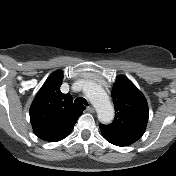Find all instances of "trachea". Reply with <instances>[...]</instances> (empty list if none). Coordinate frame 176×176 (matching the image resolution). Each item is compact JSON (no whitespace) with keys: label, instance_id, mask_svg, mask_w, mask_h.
<instances>
[{"label":"trachea","instance_id":"trachea-1","mask_svg":"<svg viewBox=\"0 0 176 176\" xmlns=\"http://www.w3.org/2000/svg\"><path fill=\"white\" fill-rule=\"evenodd\" d=\"M74 102H75V104H77L79 106H83L82 104L88 106L87 100L85 98H82V97L77 98Z\"/></svg>","mask_w":176,"mask_h":176}]
</instances>
